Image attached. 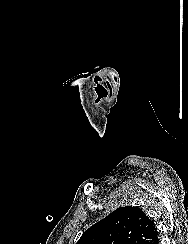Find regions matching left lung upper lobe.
Segmentation results:
<instances>
[{
	"instance_id": "5c2ea615",
	"label": "left lung upper lobe",
	"mask_w": 188,
	"mask_h": 244,
	"mask_svg": "<svg viewBox=\"0 0 188 244\" xmlns=\"http://www.w3.org/2000/svg\"><path fill=\"white\" fill-rule=\"evenodd\" d=\"M157 235L155 224L140 208L126 206L88 228L77 244H151Z\"/></svg>"
}]
</instances>
